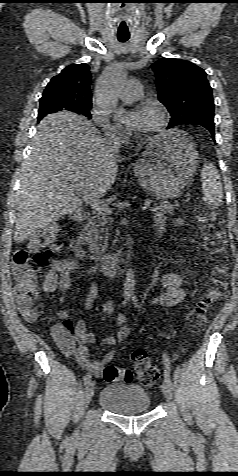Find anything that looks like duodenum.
<instances>
[{
	"label": "duodenum",
	"mask_w": 238,
	"mask_h": 476,
	"mask_svg": "<svg viewBox=\"0 0 238 476\" xmlns=\"http://www.w3.org/2000/svg\"><path fill=\"white\" fill-rule=\"evenodd\" d=\"M89 218V213L85 211L79 212L75 221L78 223H85ZM134 248V242L128 243L126 248L119 253L103 254L94 256L91 255L83 246L78 237H74L70 241V249L79 259H88L93 261L98 267L102 275L111 277L122 271L129 263Z\"/></svg>",
	"instance_id": "duodenum-1"
}]
</instances>
